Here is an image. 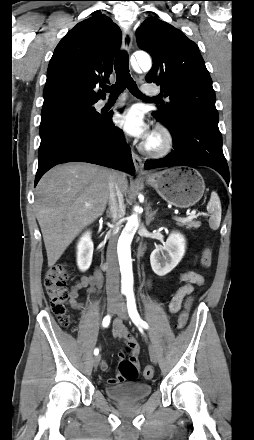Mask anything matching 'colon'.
<instances>
[{
    "mask_svg": "<svg viewBox=\"0 0 254 440\" xmlns=\"http://www.w3.org/2000/svg\"><path fill=\"white\" fill-rule=\"evenodd\" d=\"M213 260L212 250L209 247H204L202 251L201 264L208 268L211 266ZM71 273L66 265L56 264L48 269L44 277V287L50 301L51 310L58 317L62 326L69 324V317L66 312V305L70 298V293L67 289V282L70 279ZM192 298L188 297L185 300L184 308L181 311L177 327L183 329L188 321V310ZM119 372L124 381L134 382L138 378V367L131 359L122 360L119 363ZM154 370L147 366L144 369V376L147 379L152 378Z\"/></svg>",
    "mask_w": 254,
    "mask_h": 440,
    "instance_id": "1",
    "label": "colon"
}]
</instances>
